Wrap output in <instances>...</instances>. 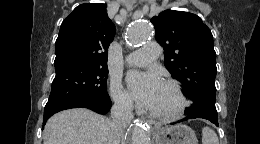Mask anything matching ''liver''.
Returning <instances> with one entry per match:
<instances>
[{"mask_svg":"<svg viewBox=\"0 0 260 144\" xmlns=\"http://www.w3.org/2000/svg\"><path fill=\"white\" fill-rule=\"evenodd\" d=\"M111 119L75 108L53 115L46 123L44 144H118Z\"/></svg>","mask_w":260,"mask_h":144,"instance_id":"obj_1","label":"liver"}]
</instances>
